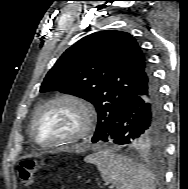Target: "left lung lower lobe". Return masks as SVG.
I'll return each instance as SVG.
<instances>
[{"label": "left lung lower lobe", "mask_w": 188, "mask_h": 189, "mask_svg": "<svg viewBox=\"0 0 188 189\" xmlns=\"http://www.w3.org/2000/svg\"><path fill=\"white\" fill-rule=\"evenodd\" d=\"M164 126L162 99L152 78L134 92L113 126L98 141L134 147L144 135H163Z\"/></svg>", "instance_id": "1"}]
</instances>
